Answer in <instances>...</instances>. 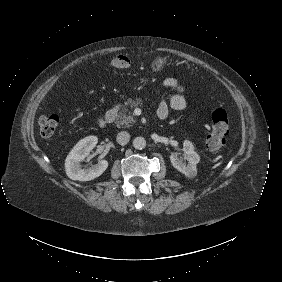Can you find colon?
<instances>
[{
    "mask_svg": "<svg viewBox=\"0 0 282 282\" xmlns=\"http://www.w3.org/2000/svg\"><path fill=\"white\" fill-rule=\"evenodd\" d=\"M109 67L123 71L130 66V58L122 53L113 54L108 61ZM59 118L55 114H47L39 120V131L43 137H51L58 126ZM230 131L228 114L223 109H216L211 114V125L206 136L205 145L210 152H219L226 146V138Z\"/></svg>",
    "mask_w": 282,
    "mask_h": 282,
    "instance_id": "1",
    "label": "colon"
}]
</instances>
